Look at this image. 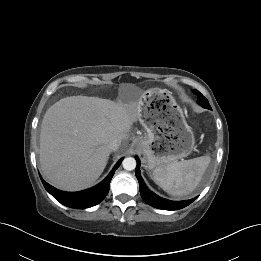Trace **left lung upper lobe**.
Returning <instances> with one entry per match:
<instances>
[{"mask_svg":"<svg viewBox=\"0 0 261 261\" xmlns=\"http://www.w3.org/2000/svg\"><path fill=\"white\" fill-rule=\"evenodd\" d=\"M194 93L198 96L197 102L206 109H211L208 100L198 91L194 90Z\"/></svg>","mask_w":261,"mask_h":261,"instance_id":"1","label":"left lung upper lobe"}]
</instances>
